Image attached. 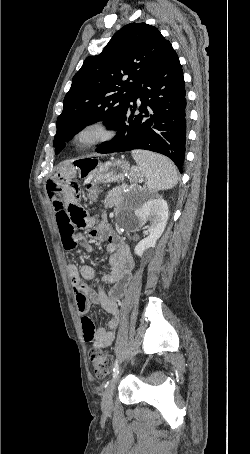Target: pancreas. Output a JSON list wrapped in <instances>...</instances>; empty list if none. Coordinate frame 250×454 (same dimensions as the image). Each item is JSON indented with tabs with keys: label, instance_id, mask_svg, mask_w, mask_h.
<instances>
[{
	"label": "pancreas",
	"instance_id": "pancreas-1",
	"mask_svg": "<svg viewBox=\"0 0 250 454\" xmlns=\"http://www.w3.org/2000/svg\"><path fill=\"white\" fill-rule=\"evenodd\" d=\"M120 200H121V195L119 193V189L116 188V189H113L112 191H110L103 203L105 205V208H111L113 206H118L120 204Z\"/></svg>",
	"mask_w": 250,
	"mask_h": 454
}]
</instances>
